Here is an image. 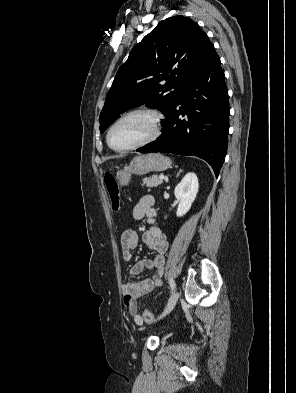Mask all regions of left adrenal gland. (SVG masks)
Masks as SVG:
<instances>
[{"mask_svg": "<svg viewBox=\"0 0 296 393\" xmlns=\"http://www.w3.org/2000/svg\"><path fill=\"white\" fill-rule=\"evenodd\" d=\"M182 170H180L178 173H177V175L181 172Z\"/></svg>", "mask_w": 296, "mask_h": 393, "instance_id": "obj_1", "label": "left adrenal gland"}]
</instances>
